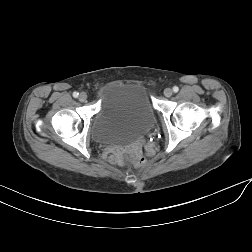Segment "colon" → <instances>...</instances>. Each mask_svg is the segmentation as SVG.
Segmentation results:
<instances>
[{"mask_svg": "<svg viewBox=\"0 0 252 252\" xmlns=\"http://www.w3.org/2000/svg\"><path fill=\"white\" fill-rule=\"evenodd\" d=\"M130 163L137 167L143 166L146 163V158L141 154H135L130 158Z\"/></svg>", "mask_w": 252, "mask_h": 252, "instance_id": "obj_1", "label": "colon"}]
</instances>
